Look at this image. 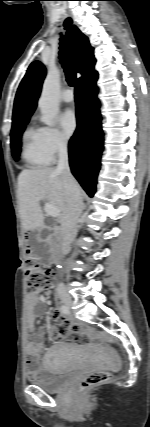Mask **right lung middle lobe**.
<instances>
[{
    "label": "right lung middle lobe",
    "instance_id": "obj_1",
    "mask_svg": "<svg viewBox=\"0 0 150 427\" xmlns=\"http://www.w3.org/2000/svg\"><path fill=\"white\" fill-rule=\"evenodd\" d=\"M29 121V118L13 123L11 130V149L14 158H18L21 151V135Z\"/></svg>",
    "mask_w": 150,
    "mask_h": 427
}]
</instances>
